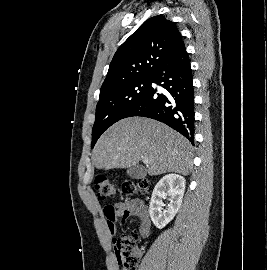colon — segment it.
I'll return each instance as SVG.
<instances>
[{"mask_svg": "<svg viewBox=\"0 0 267 270\" xmlns=\"http://www.w3.org/2000/svg\"><path fill=\"white\" fill-rule=\"evenodd\" d=\"M147 186L146 180L128 181L123 183L120 189L105 176H97L94 179V188L98 198L102 201L114 198L120 190L125 195L131 196L144 191ZM113 243L120 270H136L140 258L137 234H122L114 237Z\"/></svg>", "mask_w": 267, "mask_h": 270, "instance_id": "obj_1", "label": "colon"}]
</instances>
